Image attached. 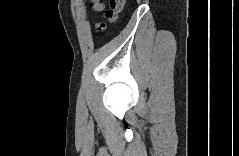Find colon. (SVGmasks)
<instances>
[{
	"label": "colon",
	"mask_w": 239,
	"mask_h": 156,
	"mask_svg": "<svg viewBox=\"0 0 239 156\" xmlns=\"http://www.w3.org/2000/svg\"><path fill=\"white\" fill-rule=\"evenodd\" d=\"M125 4V0H110L109 1V9L106 11V18L108 22L112 23L114 22L119 13L122 11ZM106 28L105 23H98L96 25L97 31H104Z\"/></svg>",
	"instance_id": "1"
}]
</instances>
